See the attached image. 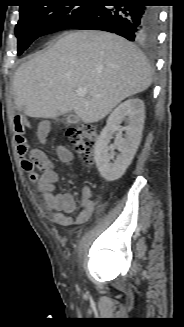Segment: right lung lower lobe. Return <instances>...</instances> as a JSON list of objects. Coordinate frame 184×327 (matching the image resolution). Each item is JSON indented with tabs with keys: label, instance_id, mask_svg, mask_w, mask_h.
I'll list each match as a JSON object with an SVG mask.
<instances>
[{
	"label": "right lung lower lobe",
	"instance_id": "1",
	"mask_svg": "<svg viewBox=\"0 0 184 327\" xmlns=\"http://www.w3.org/2000/svg\"><path fill=\"white\" fill-rule=\"evenodd\" d=\"M146 0H126L124 6L94 5L93 9L72 26L82 30H104L130 41L151 45L158 34V11L145 7Z\"/></svg>",
	"mask_w": 184,
	"mask_h": 327
}]
</instances>
